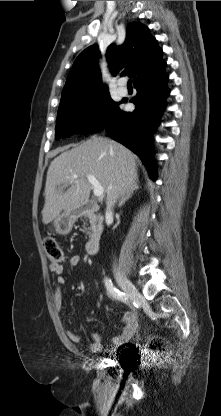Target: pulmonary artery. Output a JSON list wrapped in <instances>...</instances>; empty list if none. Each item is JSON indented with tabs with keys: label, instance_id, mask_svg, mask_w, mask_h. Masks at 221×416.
<instances>
[{
	"label": "pulmonary artery",
	"instance_id": "pulmonary-artery-1",
	"mask_svg": "<svg viewBox=\"0 0 221 416\" xmlns=\"http://www.w3.org/2000/svg\"><path fill=\"white\" fill-rule=\"evenodd\" d=\"M117 92L121 95V96H125V95H127V93H128V90H127V88L122 84V83H119V86H118V88H117Z\"/></svg>",
	"mask_w": 221,
	"mask_h": 416
}]
</instances>
